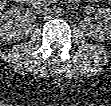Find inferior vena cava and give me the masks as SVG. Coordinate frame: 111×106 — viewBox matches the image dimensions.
<instances>
[{
	"label": "inferior vena cava",
	"instance_id": "602c4592",
	"mask_svg": "<svg viewBox=\"0 0 111 106\" xmlns=\"http://www.w3.org/2000/svg\"><path fill=\"white\" fill-rule=\"evenodd\" d=\"M34 9L37 12L45 13L49 11V7L47 6V2L43 0H37L33 4Z\"/></svg>",
	"mask_w": 111,
	"mask_h": 106
}]
</instances>
